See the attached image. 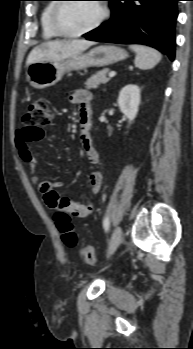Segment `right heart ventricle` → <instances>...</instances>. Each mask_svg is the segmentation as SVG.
<instances>
[{
    "instance_id": "1",
    "label": "right heart ventricle",
    "mask_w": 193,
    "mask_h": 349,
    "mask_svg": "<svg viewBox=\"0 0 193 349\" xmlns=\"http://www.w3.org/2000/svg\"><path fill=\"white\" fill-rule=\"evenodd\" d=\"M53 1L55 0H51L48 4L45 5L40 16L42 37L47 40L58 37V35L54 32L50 24V15H51L52 8L54 6Z\"/></svg>"
}]
</instances>
